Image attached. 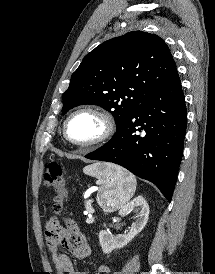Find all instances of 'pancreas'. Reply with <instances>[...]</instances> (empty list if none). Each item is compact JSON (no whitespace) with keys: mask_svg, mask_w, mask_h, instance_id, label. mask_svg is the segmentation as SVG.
Wrapping results in <instances>:
<instances>
[{"mask_svg":"<svg viewBox=\"0 0 215 274\" xmlns=\"http://www.w3.org/2000/svg\"><path fill=\"white\" fill-rule=\"evenodd\" d=\"M91 200H89L87 203H86V209L87 210H91Z\"/></svg>","mask_w":215,"mask_h":274,"instance_id":"1","label":"pancreas"}]
</instances>
